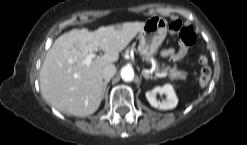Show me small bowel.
I'll return each instance as SVG.
<instances>
[{"mask_svg": "<svg viewBox=\"0 0 247 145\" xmlns=\"http://www.w3.org/2000/svg\"><path fill=\"white\" fill-rule=\"evenodd\" d=\"M185 54H186V50L184 48H179L178 50L168 48L162 51V55L164 57H169L174 61L182 59L185 56Z\"/></svg>", "mask_w": 247, "mask_h": 145, "instance_id": "1", "label": "small bowel"}]
</instances>
